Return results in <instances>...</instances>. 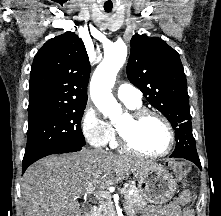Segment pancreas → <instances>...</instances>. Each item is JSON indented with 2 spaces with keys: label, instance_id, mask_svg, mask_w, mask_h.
<instances>
[{
  "label": "pancreas",
  "instance_id": "cf45deb5",
  "mask_svg": "<svg viewBox=\"0 0 221 216\" xmlns=\"http://www.w3.org/2000/svg\"><path fill=\"white\" fill-rule=\"evenodd\" d=\"M126 190V193H124V207L127 211H132L134 206L146 204L144 198L141 196L139 190L135 186L128 185ZM129 190H133L132 195L128 194ZM100 200V206L91 216H115L116 213L112 202L106 198H102Z\"/></svg>",
  "mask_w": 221,
  "mask_h": 216
}]
</instances>
